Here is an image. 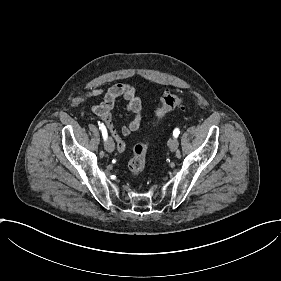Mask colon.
Returning <instances> with one entry per match:
<instances>
[{"label": "colon", "mask_w": 281, "mask_h": 281, "mask_svg": "<svg viewBox=\"0 0 281 281\" xmlns=\"http://www.w3.org/2000/svg\"><path fill=\"white\" fill-rule=\"evenodd\" d=\"M188 103V98L183 95L166 93L161 99L160 114H166L175 108L184 107ZM147 149L142 145H138L132 154L130 162V171L134 175H139L143 172L146 164Z\"/></svg>", "instance_id": "colon-1"}]
</instances>
